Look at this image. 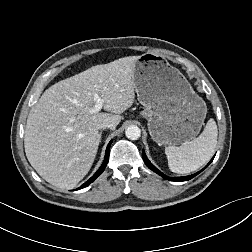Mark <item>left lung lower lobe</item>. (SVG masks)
Returning a JSON list of instances; mask_svg holds the SVG:
<instances>
[{"mask_svg":"<svg viewBox=\"0 0 252 252\" xmlns=\"http://www.w3.org/2000/svg\"><path fill=\"white\" fill-rule=\"evenodd\" d=\"M142 157H143V160H144V163L146 164V166L151 169L152 171H154L155 173L159 174L160 176H162L163 178L165 179H168V180H171V181H187V180H190L191 178L195 177L197 174H199L200 172H202L211 162L212 160L214 159V157L211 159V161L207 164V166L202 169L201 171L193 174V175H189V176H184V177H167L165 176L162 172H160L154 165L151 164V162L148 160V158L146 157L145 155V152L144 150L142 151Z\"/></svg>","mask_w":252,"mask_h":252,"instance_id":"0a47b994","label":"left lung lower lobe"}]
</instances>
